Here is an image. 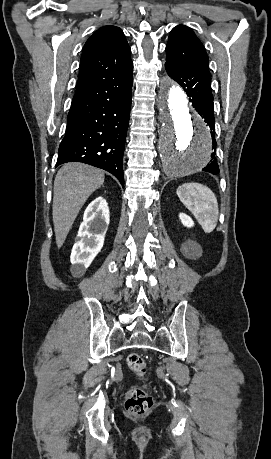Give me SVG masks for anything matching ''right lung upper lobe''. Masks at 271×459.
<instances>
[{
	"label": "right lung upper lobe",
	"mask_w": 271,
	"mask_h": 459,
	"mask_svg": "<svg viewBox=\"0 0 271 459\" xmlns=\"http://www.w3.org/2000/svg\"><path fill=\"white\" fill-rule=\"evenodd\" d=\"M132 70L131 49L123 31L116 26H103L85 43L74 98Z\"/></svg>",
	"instance_id": "right-lung-upper-lobe-1"
}]
</instances>
